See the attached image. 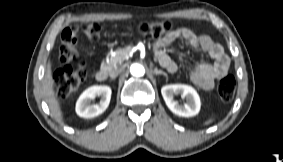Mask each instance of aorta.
Listing matches in <instances>:
<instances>
[{
    "label": "aorta",
    "instance_id": "aorta-1",
    "mask_svg": "<svg viewBox=\"0 0 283 162\" xmlns=\"http://www.w3.org/2000/svg\"><path fill=\"white\" fill-rule=\"evenodd\" d=\"M130 73L133 76L141 77L145 74V68L143 67V65H141L139 63H134L130 67Z\"/></svg>",
    "mask_w": 283,
    "mask_h": 162
}]
</instances>
